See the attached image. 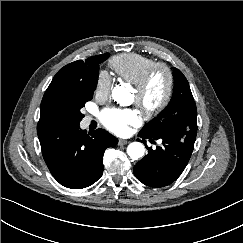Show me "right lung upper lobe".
<instances>
[{
    "label": "right lung upper lobe",
    "instance_id": "right-lung-upper-lobe-1",
    "mask_svg": "<svg viewBox=\"0 0 243 243\" xmlns=\"http://www.w3.org/2000/svg\"><path fill=\"white\" fill-rule=\"evenodd\" d=\"M102 55L88 58L85 62L82 60L72 62L58 71L43 96L38 125L49 124L44 118L43 107L52 93L63 87L87 85L98 80V61Z\"/></svg>",
    "mask_w": 243,
    "mask_h": 243
}]
</instances>
